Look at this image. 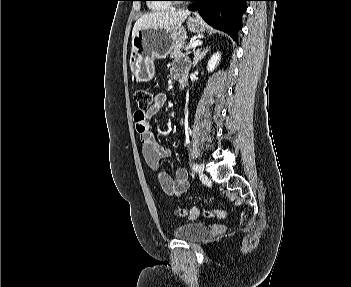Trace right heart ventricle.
<instances>
[{
	"mask_svg": "<svg viewBox=\"0 0 351 287\" xmlns=\"http://www.w3.org/2000/svg\"><path fill=\"white\" fill-rule=\"evenodd\" d=\"M149 8L153 11L165 10L167 6L161 3L159 0H150Z\"/></svg>",
	"mask_w": 351,
	"mask_h": 287,
	"instance_id": "1",
	"label": "right heart ventricle"
}]
</instances>
